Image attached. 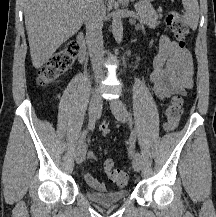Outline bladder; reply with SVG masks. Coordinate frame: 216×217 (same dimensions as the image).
I'll list each match as a JSON object with an SVG mask.
<instances>
[{
    "mask_svg": "<svg viewBox=\"0 0 216 217\" xmlns=\"http://www.w3.org/2000/svg\"><path fill=\"white\" fill-rule=\"evenodd\" d=\"M85 195L89 200L94 203L101 205H112L126 200L128 198L129 192L126 188H121L105 193H99L90 189H86Z\"/></svg>",
    "mask_w": 216,
    "mask_h": 217,
    "instance_id": "obj_1",
    "label": "bladder"
}]
</instances>
